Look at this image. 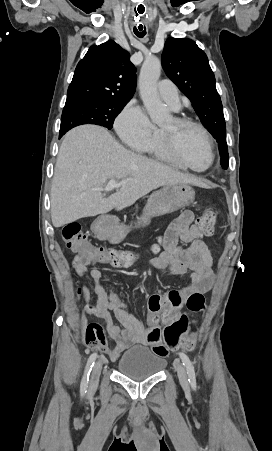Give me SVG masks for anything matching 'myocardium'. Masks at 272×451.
<instances>
[{
    "label": "myocardium",
    "mask_w": 272,
    "mask_h": 451,
    "mask_svg": "<svg viewBox=\"0 0 272 451\" xmlns=\"http://www.w3.org/2000/svg\"><path fill=\"white\" fill-rule=\"evenodd\" d=\"M172 119H173L174 122H176L179 126L191 127V128L196 129V130L201 134V136H202V138H203V140H204V142H205V144H206V146H207V148H208V150H209V152H210V156H211L210 164H209V166H208L206 169H204V170H201V171L194 170V169L190 168L189 166H187L186 164H184L183 162H181L180 167H181L184 171L190 172V173H201V172H206V171L210 170L211 168H213V166H214V164H215V162H216V152H215L214 146H213V144H212V141H211V139H210V137H209L207 131L203 128V126H201L200 124L195 123V122H193V121H191V120H189V119L182 118V117H173ZM161 141H162V146H163V148H164L165 150L168 149V143H169V144H170V145H169V148H174L175 151H176V154H177V155H180V150H179L178 146L176 145V143H175L172 139L169 140L168 135H167L165 129H162V130H161Z\"/></svg>",
    "instance_id": "1"
}]
</instances>
